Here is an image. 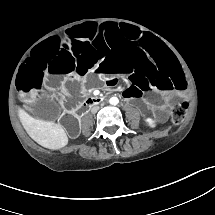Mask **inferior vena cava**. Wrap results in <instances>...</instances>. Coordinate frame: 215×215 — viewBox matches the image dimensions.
I'll return each mask as SVG.
<instances>
[{
    "label": "inferior vena cava",
    "instance_id": "1",
    "mask_svg": "<svg viewBox=\"0 0 215 215\" xmlns=\"http://www.w3.org/2000/svg\"><path fill=\"white\" fill-rule=\"evenodd\" d=\"M99 106H93L92 108H91V113H96L98 110H99Z\"/></svg>",
    "mask_w": 215,
    "mask_h": 215
}]
</instances>
